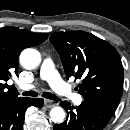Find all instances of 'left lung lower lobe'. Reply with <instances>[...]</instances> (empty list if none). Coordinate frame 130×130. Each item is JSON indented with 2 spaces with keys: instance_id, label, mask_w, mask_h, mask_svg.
Wrapping results in <instances>:
<instances>
[{
  "instance_id": "1",
  "label": "left lung lower lobe",
  "mask_w": 130,
  "mask_h": 130,
  "mask_svg": "<svg viewBox=\"0 0 130 130\" xmlns=\"http://www.w3.org/2000/svg\"><path fill=\"white\" fill-rule=\"evenodd\" d=\"M60 105L67 111V119L55 125L53 130H103L115 112L102 103L87 99L75 108L67 101Z\"/></svg>"
}]
</instances>
